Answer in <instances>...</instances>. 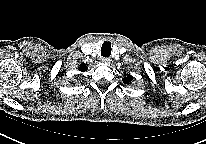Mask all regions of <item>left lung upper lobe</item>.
<instances>
[{
    "instance_id": "5c2ea615",
    "label": "left lung upper lobe",
    "mask_w": 206,
    "mask_h": 144,
    "mask_svg": "<svg viewBox=\"0 0 206 144\" xmlns=\"http://www.w3.org/2000/svg\"><path fill=\"white\" fill-rule=\"evenodd\" d=\"M122 80H123V82H125V83L129 84V83H131V82H132L133 77H132L131 75H129V76H127V77L123 78Z\"/></svg>"
}]
</instances>
